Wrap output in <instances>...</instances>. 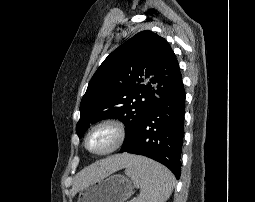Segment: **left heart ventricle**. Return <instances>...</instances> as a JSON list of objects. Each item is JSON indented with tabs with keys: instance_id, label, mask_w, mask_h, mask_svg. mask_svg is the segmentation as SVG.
<instances>
[{
	"instance_id": "b2bd125f",
	"label": "left heart ventricle",
	"mask_w": 255,
	"mask_h": 202,
	"mask_svg": "<svg viewBox=\"0 0 255 202\" xmlns=\"http://www.w3.org/2000/svg\"><path fill=\"white\" fill-rule=\"evenodd\" d=\"M115 141V134L109 128H101L92 133L88 145L93 151H104L111 147Z\"/></svg>"
}]
</instances>
